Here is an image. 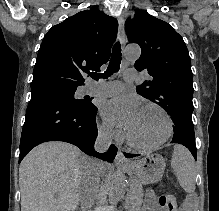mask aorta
Wrapping results in <instances>:
<instances>
[{
	"label": "aorta",
	"instance_id": "obj_1",
	"mask_svg": "<svg viewBox=\"0 0 219 211\" xmlns=\"http://www.w3.org/2000/svg\"><path fill=\"white\" fill-rule=\"evenodd\" d=\"M140 48L137 45H129L125 49L126 58L129 60H136L140 56ZM126 180L123 177H118L112 183L109 194L108 201L110 204H117L120 199L123 197L126 190Z\"/></svg>",
	"mask_w": 219,
	"mask_h": 211
}]
</instances>
